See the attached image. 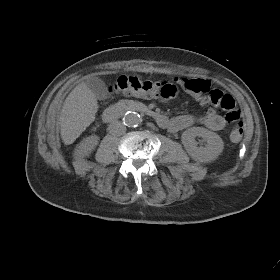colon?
<instances>
[{"instance_id":"colon-1","label":"colon","mask_w":280,"mask_h":280,"mask_svg":"<svg viewBox=\"0 0 280 280\" xmlns=\"http://www.w3.org/2000/svg\"><path fill=\"white\" fill-rule=\"evenodd\" d=\"M111 90L127 96H143L147 98H159L162 100L174 98L178 87L174 83L141 79L135 76H120L111 86ZM209 101L226 111L225 120L234 123L230 138L234 142L241 140L244 132L240 122V110L236 107L233 97L219 90H207Z\"/></svg>"}]
</instances>
